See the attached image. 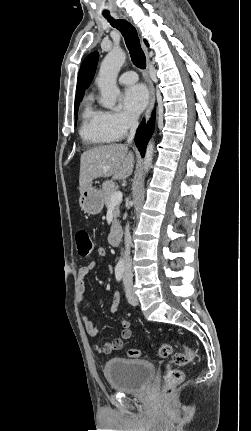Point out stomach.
<instances>
[{
  "label": "stomach",
  "instance_id": "stomach-1",
  "mask_svg": "<svg viewBox=\"0 0 251 431\" xmlns=\"http://www.w3.org/2000/svg\"><path fill=\"white\" fill-rule=\"evenodd\" d=\"M79 204L85 213L89 215L99 214L104 206V198L101 190L93 187L91 184L81 192Z\"/></svg>",
  "mask_w": 251,
  "mask_h": 431
}]
</instances>
